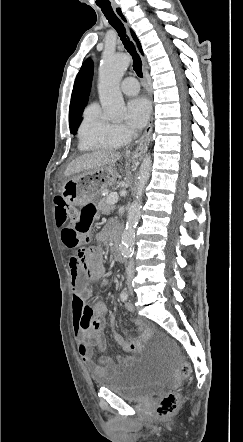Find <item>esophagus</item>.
<instances>
[{"mask_svg":"<svg viewBox=\"0 0 243 442\" xmlns=\"http://www.w3.org/2000/svg\"><path fill=\"white\" fill-rule=\"evenodd\" d=\"M114 11H115L116 15L119 17V19L122 21V23L124 24V26L127 30V33L130 36L131 35L130 24H129V21H128L125 13L123 12L122 8L118 5H115ZM141 59H142V63H143V74H144V77L147 79L148 71H147L145 58L143 56H141ZM151 131H152V117H151L142 137L139 139L136 149L132 153L133 160L140 158L147 151L148 144L150 141Z\"/></svg>","mask_w":243,"mask_h":442,"instance_id":"1","label":"esophagus"}]
</instances>
